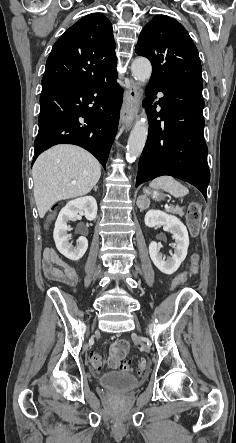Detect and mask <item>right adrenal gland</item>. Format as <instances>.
Returning a JSON list of instances; mask_svg holds the SVG:
<instances>
[{
	"mask_svg": "<svg viewBox=\"0 0 236 443\" xmlns=\"http://www.w3.org/2000/svg\"><path fill=\"white\" fill-rule=\"evenodd\" d=\"M97 188H98V186H95V187H94V191H95V192H97Z\"/></svg>",
	"mask_w": 236,
	"mask_h": 443,
	"instance_id": "1",
	"label": "right adrenal gland"
}]
</instances>
